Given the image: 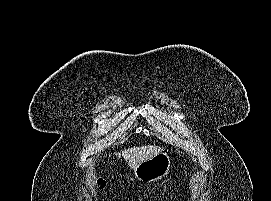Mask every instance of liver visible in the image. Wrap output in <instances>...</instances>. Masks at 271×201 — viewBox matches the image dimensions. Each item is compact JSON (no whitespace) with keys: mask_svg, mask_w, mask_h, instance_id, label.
<instances>
[{"mask_svg":"<svg viewBox=\"0 0 271 201\" xmlns=\"http://www.w3.org/2000/svg\"><path fill=\"white\" fill-rule=\"evenodd\" d=\"M163 148L155 145H145L141 147H132L122 151L124 160L128 163L129 167L134 169L140 163L153 158L161 153Z\"/></svg>","mask_w":271,"mask_h":201,"instance_id":"1","label":"liver"}]
</instances>
